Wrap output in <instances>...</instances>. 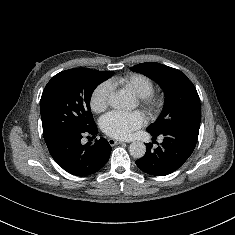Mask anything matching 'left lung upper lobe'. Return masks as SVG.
Masks as SVG:
<instances>
[{
	"instance_id": "1",
	"label": "left lung upper lobe",
	"mask_w": 235,
	"mask_h": 235,
	"mask_svg": "<svg viewBox=\"0 0 235 235\" xmlns=\"http://www.w3.org/2000/svg\"><path fill=\"white\" fill-rule=\"evenodd\" d=\"M157 82L165 94L164 108L157 121L147 128L156 135L175 129L199 131L201 105L193 83L181 71L155 62H146L130 68Z\"/></svg>"
}]
</instances>
